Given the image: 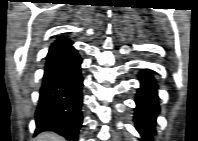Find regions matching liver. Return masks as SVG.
<instances>
[{
    "label": "liver",
    "instance_id": "obj_1",
    "mask_svg": "<svg viewBox=\"0 0 198 141\" xmlns=\"http://www.w3.org/2000/svg\"><path fill=\"white\" fill-rule=\"evenodd\" d=\"M36 141H64V138L52 132H43L37 136Z\"/></svg>",
    "mask_w": 198,
    "mask_h": 141
}]
</instances>
